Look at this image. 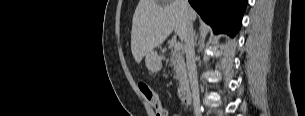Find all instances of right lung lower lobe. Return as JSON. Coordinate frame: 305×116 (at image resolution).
<instances>
[{
    "label": "right lung lower lobe",
    "instance_id": "obj_1",
    "mask_svg": "<svg viewBox=\"0 0 305 116\" xmlns=\"http://www.w3.org/2000/svg\"><path fill=\"white\" fill-rule=\"evenodd\" d=\"M189 3L215 33L234 37L240 28L247 0H189Z\"/></svg>",
    "mask_w": 305,
    "mask_h": 116
}]
</instances>
